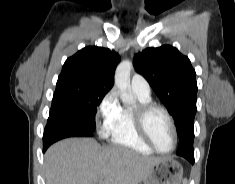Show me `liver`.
I'll return each mask as SVG.
<instances>
[{
	"instance_id": "obj_1",
	"label": "liver",
	"mask_w": 235,
	"mask_h": 184,
	"mask_svg": "<svg viewBox=\"0 0 235 184\" xmlns=\"http://www.w3.org/2000/svg\"><path fill=\"white\" fill-rule=\"evenodd\" d=\"M170 158L139 156L129 148H102L94 138H67L45 154L46 184H140Z\"/></svg>"
}]
</instances>
